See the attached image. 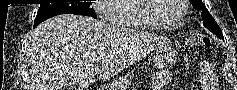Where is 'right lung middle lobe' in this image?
<instances>
[{"label":"right lung middle lobe","mask_w":237,"mask_h":90,"mask_svg":"<svg viewBox=\"0 0 237 90\" xmlns=\"http://www.w3.org/2000/svg\"><path fill=\"white\" fill-rule=\"evenodd\" d=\"M91 2L78 3H58V4H41L37 12L34 24L38 25L44 20L60 14H76L97 18Z\"/></svg>","instance_id":"right-lung-middle-lobe-1"}]
</instances>
